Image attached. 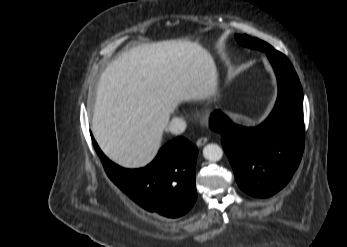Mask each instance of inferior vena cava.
<instances>
[{
  "label": "inferior vena cava",
  "instance_id": "obj_1",
  "mask_svg": "<svg viewBox=\"0 0 347 247\" xmlns=\"http://www.w3.org/2000/svg\"><path fill=\"white\" fill-rule=\"evenodd\" d=\"M185 129H186V122L179 117H174L167 127L168 131L176 135L183 133Z\"/></svg>",
  "mask_w": 347,
  "mask_h": 247
}]
</instances>
